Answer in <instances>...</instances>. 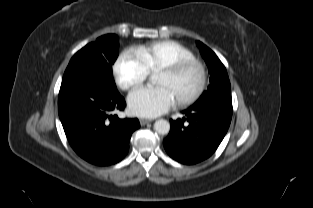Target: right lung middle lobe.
<instances>
[{"mask_svg":"<svg viewBox=\"0 0 313 208\" xmlns=\"http://www.w3.org/2000/svg\"><path fill=\"white\" fill-rule=\"evenodd\" d=\"M118 56V38L114 34L99 37L79 50L70 60L64 73L83 70L86 74L99 78L108 87L117 91L112 75V65Z\"/></svg>","mask_w":313,"mask_h":208,"instance_id":"dd1d6c3e","label":"right lung middle lobe"}]
</instances>
